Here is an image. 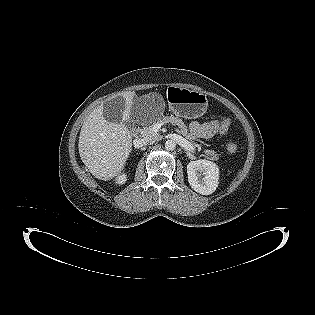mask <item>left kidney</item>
<instances>
[{"label": "left kidney", "instance_id": "left-kidney-1", "mask_svg": "<svg viewBox=\"0 0 315 315\" xmlns=\"http://www.w3.org/2000/svg\"><path fill=\"white\" fill-rule=\"evenodd\" d=\"M188 182L199 194H212L219 183V168L208 160L191 161L187 165Z\"/></svg>", "mask_w": 315, "mask_h": 315}]
</instances>
